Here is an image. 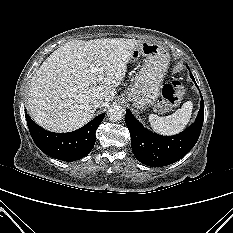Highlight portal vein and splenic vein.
<instances>
[{"instance_id": "portal-vein-and-splenic-vein-1", "label": "portal vein and splenic vein", "mask_w": 233, "mask_h": 233, "mask_svg": "<svg viewBox=\"0 0 233 233\" xmlns=\"http://www.w3.org/2000/svg\"><path fill=\"white\" fill-rule=\"evenodd\" d=\"M90 68H91V72L92 73H95L97 71V68L94 67L93 65H90Z\"/></svg>"}]
</instances>
